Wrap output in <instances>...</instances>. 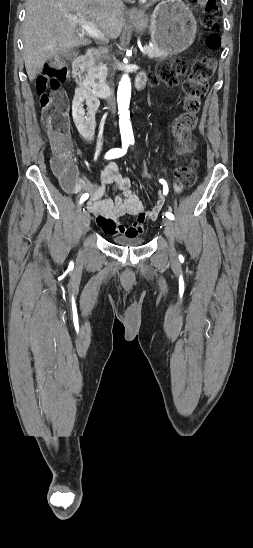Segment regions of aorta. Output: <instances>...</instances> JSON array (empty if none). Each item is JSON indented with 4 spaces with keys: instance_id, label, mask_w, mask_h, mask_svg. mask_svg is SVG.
<instances>
[{
    "instance_id": "aorta-1",
    "label": "aorta",
    "mask_w": 253,
    "mask_h": 548,
    "mask_svg": "<svg viewBox=\"0 0 253 548\" xmlns=\"http://www.w3.org/2000/svg\"><path fill=\"white\" fill-rule=\"evenodd\" d=\"M131 97V82L128 75H123L119 82L117 92V102L120 112V132L122 138H133V132L130 125L129 103Z\"/></svg>"
}]
</instances>
